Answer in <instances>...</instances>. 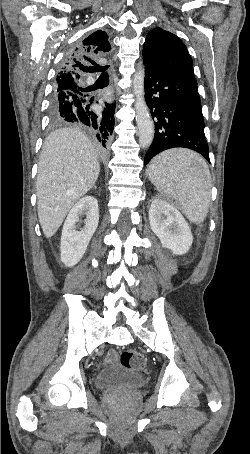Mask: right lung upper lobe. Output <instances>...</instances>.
Segmentation results:
<instances>
[{
  "instance_id": "obj_1",
  "label": "right lung upper lobe",
  "mask_w": 250,
  "mask_h": 454,
  "mask_svg": "<svg viewBox=\"0 0 250 454\" xmlns=\"http://www.w3.org/2000/svg\"><path fill=\"white\" fill-rule=\"evenodd\" d=\"M110 49L111 46L106 32L98 30L92 33L66 56L56 77V85L79 84V80L83 77L84 72H88L89 69L96 71L100 67L95 61L104 58ZM90 64L94 66H86Z\"/></svg>"
}]
</instances>
